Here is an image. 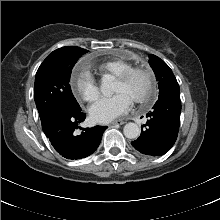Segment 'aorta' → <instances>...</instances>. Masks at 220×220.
<instances>
[{"instance_id":"1","label":"aorta","mask_w":220,"mask_h":220,"mask_svg":"<svg viewBox=\"0 0 220 220\" xmlns=\"http://www.w3.org/2000/svg\"><path fill=\"white\" fill-rule=\"evenodd\" d=\"M101 91L104 95L111 94L113 92V84L104 81L101 86ZM123 133L128 139H137L140 136L141 130L136 123L129 122L124 126Z\"/></svg>"}]
</instances>
